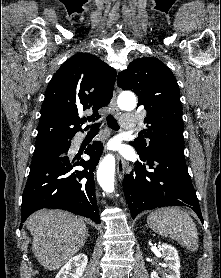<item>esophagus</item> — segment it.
Masks as SVG:
<instances>
[{
    "label": "esophagus",
    "instance_id": "esophagus-1",
    "mask_svg": "<svg viewBox=\"0 0 221 278\" xmlns=\"http://www.w3.org/2000/svg\"><path fill=\"white\" fill-rule=\"evenodd\" d=\"M110 107L114 114L119 113V109H118L117 102H116V93L115 92L111 99ZM117 174H118L119 179L122 180L124 177V174H125V160L121 156L117 157Z\"/></svg>",
    "mask_w": 221,
    "mask_h": 278
}]
</instances>
